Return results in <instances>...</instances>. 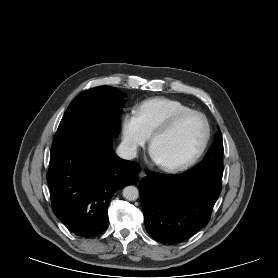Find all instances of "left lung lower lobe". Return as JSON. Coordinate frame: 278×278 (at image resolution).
<instances>
[{
  "label": "left lung lower lobe",
  "instance_id": "0a47b994",
  "mask_svg": "<svg viewBox=\"0 0 278 278\" xmlns=\"http://www.w3.org/2000/svg\"><path fill=\"white\" fill-rule=\"evenodd\" d=\"M222 178L149 171L139 184L147 232L157 241L179 243L204 228L221 192Z\"/></svg>",
  "mask_w": 278,
  "mask_h": 278
}]
</instances>
